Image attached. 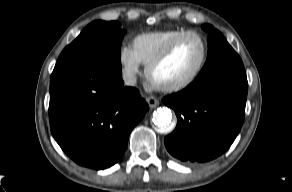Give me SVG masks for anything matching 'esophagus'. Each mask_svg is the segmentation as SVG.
I'll return each mask as SVG.
<instances>
[{"label":"esophagus","instance_id":"obj_1","mask_svg":"<svg viewBox=\"0 0 292 192\" xmlns=\"http://www.w3.org/2000/svg\"><path fill=\"white\" fill-rule=\"evenodd\" d=\"M146 101H147L150 108H155L159 105L158 99L155 98L154 96L147 97Z\"/></svg>","mask_w":292,"mask_h":192}]
</instances>
